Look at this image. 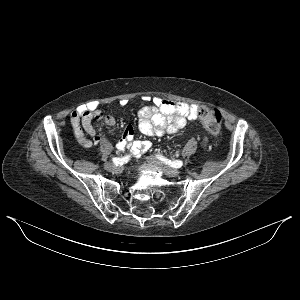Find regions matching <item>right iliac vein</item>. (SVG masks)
Masks as SVG:
<instances>
[{
    "label": "right iliac vein",
    "mask_w": 300,
    "mask_h": 300,
    "mask_svg": "<svg viewBox=\"0 0 300 300\" xmlns=\"http://www.w3.org/2000/svg\"><path fill=\"white\" fill-rule=\"evenodd\" d=\"M105 169L108 171L118 172L120 170V167L108 162L105 164Z\"/></svg>",
    "instance_id": "right-iliac-vein-1"
}]
</instances>
